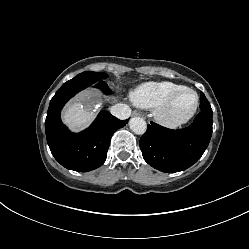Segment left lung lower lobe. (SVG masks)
Segmentation results:
<instances>
[{
    "mask_svg": "<svg viewBox=\"0 0 249 249\" xmlns=\"http://www.w3.org/2000/svg\"><path fill=\"white\" fill-rule=\"evenodd\" d=\"M201 93V112L186 128L171 130L154 122L140 139L144 160L157 170L166 173L183 171L203 155L212 135V109Z\"/></svg>",
    "mask_w": 249,
    "mask_h": 249,
    "instance_id": "left-lung-lower-lobe-1",
    "label": "left lung lower lobe"
}]
</instances>
